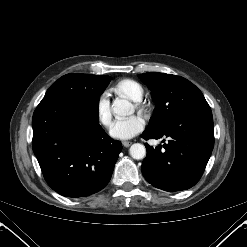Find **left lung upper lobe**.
I'll list each match as a JSON object with an SVG mask.
<instances>
[{"label":"left lung upper lobe","mask_w":247,"mask_h":247,"mask_svg":"<svg viewBox=\"0 0 247 247\" xmlns=\"http://www.w3.org/2000/svg\"><path fill=\"white\" fill-rule=\"evenodd\" d=\"M138 76L157 101L146 130H162L194 112L211 110L202 92L183 77L156 72Z\"/></svg>","instance_id":"1"}]
</instances>
